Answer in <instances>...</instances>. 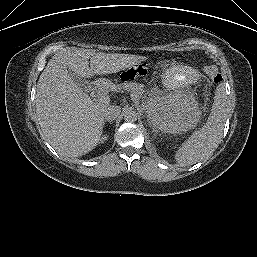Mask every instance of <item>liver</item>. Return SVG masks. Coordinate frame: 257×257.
<instances>
[{
	"label": "liver",
	"instance_id": "6515ba94",
	"mask_svg": "<svg viewBox=\"0 0 257 257\" xmlns=\"http://www.w3.org/2000/svg\"><path fill=\"white\" fill-rule=\"evenodd\" d=\"M90 59V61H89ZM142 56L65 48L55 54L37 84L36 114L45 139L64 157H80L101 140V109L68 74L82 78L117 73L142 60ZM90 64V66H89Z\"/></svg>",
	"mask_w": 257,
	"mask_h": 257
}]
</instances>
